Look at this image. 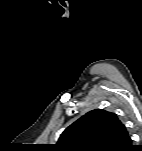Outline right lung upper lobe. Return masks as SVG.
I'll list each match as a JSON object with an SVG mask.
<instances>
[{"instance_id": "1", "label": "right lung upper lobe", "mask_w": 142, "mask_h": 151, "mask_svg": "<svg viewBox=\"0 0 142 151\" xmlns=\"http://www.w3.org/2000/svg\"><path fill=\"white\" fill-rule=\"evenodd\" d=\"M130 147L135 149L124 124L116 114L102 109L79 118L55 144L59 151H127Z\"/></svg>"}]
</instances>
